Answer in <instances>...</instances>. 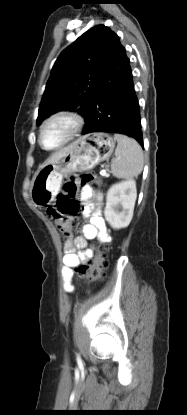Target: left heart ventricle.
<instances>
[{
    "mask_svg": "<svg viewBox=\"0 0 187 415\" xmlns=\"http://www.w3.org/2000/svg\"><path fill=\"white\" fill-rule=\"evenodd\" d=\"M72 124L66 119H57L49 123L43 133V143L53 147L61 143L70 133Z\"/></svg>",
    "mask_w": 187,
    "mask_h": 415,
    "instance_id": "1",
    "label": "left heart ventricle"
}]
</instances>
